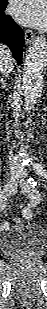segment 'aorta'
<instances>
[{"label":"aorta","instance_id":"1","mask_svg":"<svg viewBox=\"0 0 47 309\" xmlns=\"http://www.w3.org/2000/svg\"><path fill=\"white\" fill-rule=\"evenodd\" d=\"M46 47L45 37L38 36L25 55L22 83L27 110H30L37 103L42 93L47 61Z\"/></svg>","mask_w":47,"mask_h":309}]
</instances>
